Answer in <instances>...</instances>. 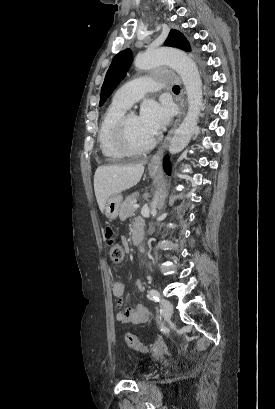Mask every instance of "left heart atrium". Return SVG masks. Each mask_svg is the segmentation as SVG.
Returning <instances> with one entry per match:
<instances>
[{"mask_svg": "<svg viewBox=\"0 0 275 409\" xmlns=\"http://www.w3.org/2000/svg\"><path fill=\"white\" fill-rule=\"evenodd\" d=\"M139 119L144 129L154 137L166 127L169 111L155 102L148 101L143 104Z\"/></svg>", "mask_w": 275, "mask_h": 409, "instance_id": "obj_1", "label": "left heart atrium"}]
</instances>
